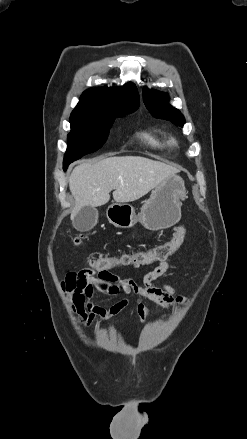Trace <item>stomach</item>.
<instances>
[{"label":"stomach","mask_w":247,"mask_h":439,"mask_svg":"<svg viewBox=\"0 0 247 439\" xmlns=\"http://www.w3.org/2000/svg\"><path fill=\"white\" fill-rule=\"evenodd\" d=\"M186 198L183 179L173 174L154 188L139 214L129 204L114 203L108 207L106 215L109 222L119 228H131L140 222L146 229L158 231L179 221L182 201Z\"/></svg>","instance_id":"stomach-1"}]
</instances>
